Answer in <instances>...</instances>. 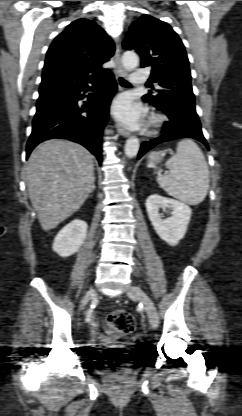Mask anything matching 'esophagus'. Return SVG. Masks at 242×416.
I'll return each mask as SVG.
<instances>
[{"label":"esophagus","mask_w":242,"mask_h":416,"mask_svg":"<svg viewBox=\"0 0 242 416\" xmlns=\"http://www.w3.org/2000/svg\"><path fill=\"white\" fill-rule=\"evenodd\" d=\"M114 61L116 64V76L117 77H124L127 75L126 70L123 68L121 63V56H120V46L116 44V51L114 55ZM117 131L124 137H128L130 133L126 131L121 125H117Z\"/></svg>","instance_id":"esophagus-1"}]
</instances>
